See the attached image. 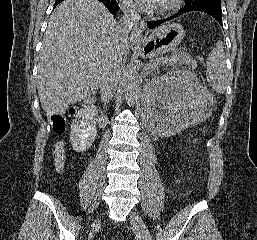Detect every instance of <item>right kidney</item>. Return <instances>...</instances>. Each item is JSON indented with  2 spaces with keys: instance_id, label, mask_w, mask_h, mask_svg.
Here are the masks:
<instances>
[{
  "instance_id": "right-kidney-1",
  "label": "right kidney",
  "mask_w": 257,
  "mask_h": 240,
  "mask_svg": "<svg viewBox=\"0 0 257 240\" xmlns=\"http://www.w3.org/2000/svg\"><path fill=\"white\" fill-rule=\"evenodd\" d=\"M94 116V106L85 107L76 113L70 132V142L75 151L83 152L94 142L97 133Z\"/></svg>"
}]
</instances>
